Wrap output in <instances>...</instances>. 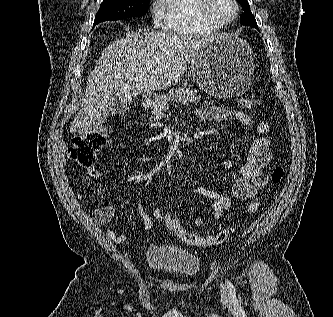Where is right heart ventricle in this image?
<instances>
[{
	"mask_svg": "<svg viewBox=\"0 0 333 317\" xmlns=\"http://www.w3.org/2000/svg\"><path fill=\"white\" fill-rule=\"evenodd\" d=\"M198 0H160L159 15L163 29L184 37L213 34L219 28L202 20L198 12Z\"/></svg>",
	"mask_w": 333,
	"mask_h": 317,
	"instance_id": "1",
	"label": "right heart ventricle"
}]
</instances>
